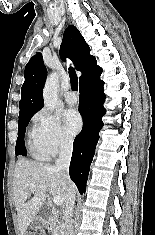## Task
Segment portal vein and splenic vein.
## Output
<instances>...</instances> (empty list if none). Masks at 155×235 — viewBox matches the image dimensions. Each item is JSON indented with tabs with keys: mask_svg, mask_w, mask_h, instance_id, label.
Instances as JSON below:
<instances>
[{
	"mask_svg": "<svg viewBox=\"0 0 155 235\" xmlns=\"http://www.w3.org/2000/svg\"><path fill=\"white\" fill-rule=\"evenodd\" d=\"M36 187H39L40 189H42V190H47L48 188L46 187V186H44V185H37V184H34V183H32L31 185H30V188H36ZM53 202L57 205V206H61L62 204H63V199L60 197V196H54L53 197Z\"/></svg>",
	"mask_w": 155,
	"mask_h": 235,
	"instance_id": "portal-vein-and-splenic-vein-1",
	"label": "portal vein and splenic vein"
}]
</instances>
